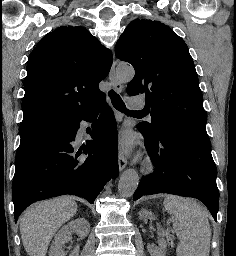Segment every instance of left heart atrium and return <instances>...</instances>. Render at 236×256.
Here are the masks:
<instances>
[{
  "mask_svg": "<svg viewBox=\"0 0 236 256\" xmlns=\"http://www.w3.org/2000/svg\"><path fill=\"white\" fill-rule=\"evenodd\" d=\"M132 145H133V142H132L131 134L129 132L123 133L119 139L120 151L123 154H127L131 151Z\"/></svg>",
  "mask_w": 236,
  "mask_h": 256,
  "instance_id": "39dd6f15",
  "label": "left heart atrium"
}]
</instances>
